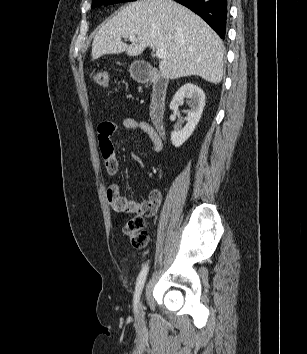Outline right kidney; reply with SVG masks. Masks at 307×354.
Masks as SVG:
<instances>
[{
	"mask_svg": "<svg viewBox=\"0 0 307 354\" xmlns=\"http://www.w3.org/2000/svg\"><path fill=\"white\" fill-rule=\"evenodd\" d=\"M186 100L190 110L183 111L187 114V124L180 131L171 133V141L175 147H180L193 133L201 118L205 106V94L203 90L192 83H186L175 93L171 103V110H178Z\"/></svg>",
	"mask_w": 307,
	"mask_h": 354,
	"instance_id": "ca27d5eb",
	"label": "right kidney"
}]
</instances>
